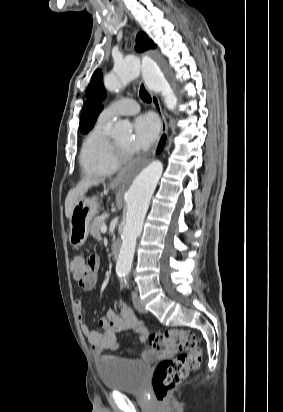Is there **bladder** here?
<instances>
[{"instance_id": "31cf9c89", "label": "bladder", "mask_w": 283, "mask_h": 412, "mask_svg": "<svg viewBox=\"0 0 283 412\" xmlns=\"http://www.w3.org/2000/svg\"><path fill=\"white\" fill-rule=\"evenodd\" d=\"M148 370L146 362L118 359L100 370V378L108 389L135 393L144 389Z\"/></svg>"}]
</instances>
